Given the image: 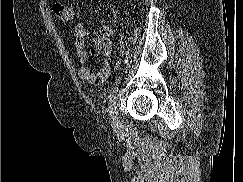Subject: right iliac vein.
Wrapping results in <instances>:
<instances>
[{
	"label": "right iliac vein",
	"mask_w": 243,
	"mask_h": 182,
	"mask_svg": "<svg viewBox=\"0 0 243 182\" xmlns=\"http://www.w3.org/2000/svg\"><path fill=\"white\" fill-rule=\"evenodd\" d=\"M109 113H110L112 125L114 127L117 126L118 121H117L116 105L114 100L109 107Z\"/></svg>",
	"instance_id": "obj_1"
}]
</instances>
